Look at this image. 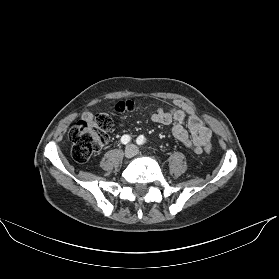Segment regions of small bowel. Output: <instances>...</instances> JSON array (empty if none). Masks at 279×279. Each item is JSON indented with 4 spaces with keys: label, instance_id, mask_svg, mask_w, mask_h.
<instances>
[{
    "label": "small bowel",
    "instance_id": "1",
    "mask_svg": "<svg viewBox=\"0 0 279 279\" xmlns=\"http://www.w3.org/2000/svg\"><path fill=\"white\" fill-rule=\"evenodd\" d=\"M83 118L92 119L89 112ZM151 121L163 125L173 123V136L185 147L196 154L205 151V145L211 141L210 129L199 119L192 108L182 100H175L170 109L159 108L152 116Z\"/></svg>",
    "mask_w": 279,
    "mask_h": 279
}]
</instances>
